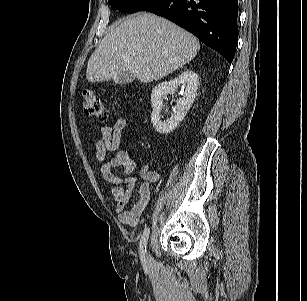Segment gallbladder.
I'll return each instance as SVG.
<instances>
[{
    "instance_id": "1",
    "label": "gallbladder",
    "mask_w": 307,
    "mask_h": 301,
    "mask_svg": "<svg viewBox=\"0 0 307 301\" xmlns=\"http://www.w3.org/2000/svg\"><path fill=\"white\" fill-rule=\"evenodd\" d=\"M135 79V76L128 72H121L114 77L113 81L118 85H125L131 83Z\"/></svg>"
}]
</instances>
